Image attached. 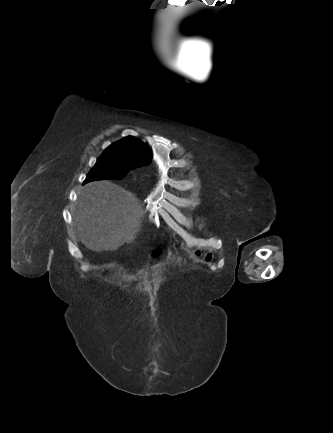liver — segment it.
<instances>
[{"label":"liver","instance_id":"liver-1","mask_svg":"<svg viewBox=\"0 0 333 433\" xmlns=\"http://www.w3.org/2000/svg\"><path fill=\"white\" fill-rule=\"evenodd\" d=\"M78 196L74 228L86 248L115 251L135 240L142 208L134 194L110 181H97L85 185Z\"/></svg>","mask_w":333,"mask_h":433}]
</instances>
